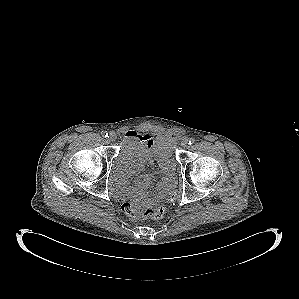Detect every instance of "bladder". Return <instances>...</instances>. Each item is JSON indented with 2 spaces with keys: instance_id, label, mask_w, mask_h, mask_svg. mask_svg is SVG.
Segmentation results:
<instances>
[{
  "instance_id": "bladder-1",
  "label": "bladder",
  "mask_w": 299,
  "mask_h": 299,
  "mask_svg": "<svg viewBox=\"0 0 299 299\" xmlns=\"http://www.w3.org/2000/svg\"><path fill=\"white\" fill-rule=\"evenodd\" d=\"M142 145L136 139L127 138L117 157L114 160L113 164V175L114 177L119 180L123 174V163L125 159L141 149ZM151 153L154 158L160 160L162 158L167 159L169 162L173 163V148L170 140L164 135H158L155 137L152 147Z\"/></svg>"
}]
</instances>
